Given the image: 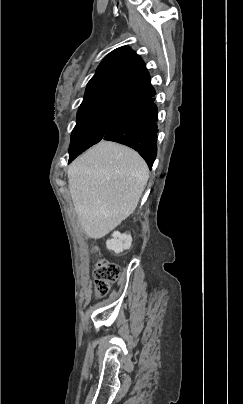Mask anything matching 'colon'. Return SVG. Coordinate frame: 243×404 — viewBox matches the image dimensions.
<instances>
[{
    "label": "colon",
    "instance_id": "1",
    "mask_svg": "<svg viewBox=\"0 0 243 404\" xmlns=\"http://www.w3.org/2000/svg\"><path fill=\"white\" fill-rule=\"evenodd\" d=\"M120 275V267L116 263L100 259L94 269L95 293L98 297L106 296L113 282Z\"/></svg>",
    "mask_w": 243,
    "mask_h": 404
}]
</instances>
